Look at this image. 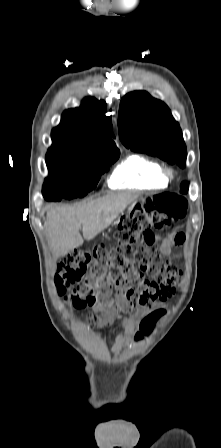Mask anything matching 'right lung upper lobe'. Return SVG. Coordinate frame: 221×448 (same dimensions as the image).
<instances>
[{"instance_id": "obj_1", "label": "right lung upper lobe", "mask_w": 221, "mask_h": 448, "mask_svg": "<svg viewBox=\"0 0 221 448\" xmlns=\"http://www.w3.org/2000/svg\"><path fill=\"white\" fill-rule=\"evenodd\" d=\"M105 110V101L87 97L79 108L64 111L60 125L52 130L49 151L60 150L84 157L119 152L113 140L111 117L105 116Z\"/></svg>"}]
</instances>
